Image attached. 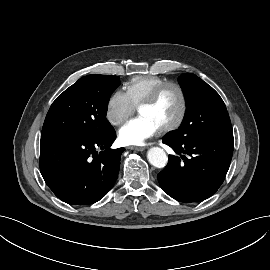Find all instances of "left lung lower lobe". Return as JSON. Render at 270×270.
<instances>
[{
    "instance_id": "1",
    "label": "left lung lower lobe",
    "mask_w": 270,
    "mask_h": 270,
    "mask_svg": "<svg viewBox=\"0 0 270 270\" xmlns=\"http://www.w3.org/2000/svg\"><path fill=\"white\" fill-rule=\"evenodd\" d=\"M180 157L169 155L168 165L157 175L161 188L180 202H197L212 196L223 183L233 154V136L193 134L184 141L163 138Z\"/></svg>"
}]
</instances>
